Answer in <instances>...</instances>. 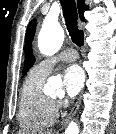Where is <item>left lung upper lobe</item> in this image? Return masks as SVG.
Segmentation results:
<instances>
[{"label":"left lung upper lobe","instance_id":"obj_1","mask_svg":"<svg viewBox=\"0 0 116 134\" xmlns=\"http://www.w3.org/2000/svg\"><path fill=\"white\" fill-rule=\"evenodd\" d=\"M35 25H36L35 20L31 21L29 26H28L27 32H26L25 43H26L27 54H26V58H25L24 69L22 72L23 75H25L27 73L29 68L35 62V58L33 56L32 48H31V42L33 40V36L35 33Z\"/></svg>","mask_w":116,"mask_h":134}]
</instances>
